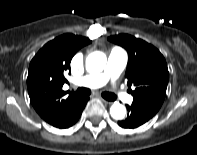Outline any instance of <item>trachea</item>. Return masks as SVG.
<instances>
[{"label":"trachea","mask_w":197,"mask_h":155,"mask_svg":"<svg viewBox=\"0 0 197 155\" xmlns=\"http://www.w3.org/2000/svg\"><path fill=\"white\" fill-rule=\"evenodd\" d=\"M76 92L78 94L84 95V96H87V95H90L91 94L90 89L84 88V87L78 88ZM101 95H102V97L104 99H106L108 101H114V100L117 99V96L115 94H113V93L103 92Z\"/></svg>","instance_id":"1"}]
</instances>
